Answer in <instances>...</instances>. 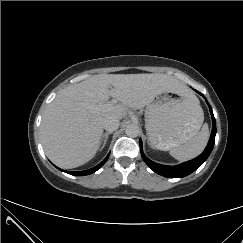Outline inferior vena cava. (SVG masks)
Listing matches in <instances>:
<instances>
[{"instance_id":"inferior-vena-cava-1","label":"inferior vena cava","mask_w":243,"mask_h":243,"mask_svg":"<svg viewBox=\"0 0 243 243\" xmlns=\"http://www.w3.org/2000/svg\"><path fill=\"white\" fill-rule=\"evenodd\" d=\"M119 119L117 118H106L103 122V128L108 132H113L119 128Z\"/></svg>"}]
</instances>
